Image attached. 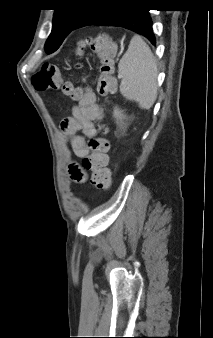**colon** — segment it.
I'll return each mask as SVG.
<instances>
[{"mask_svg":"<svg viewBox=\"0 0 213 338\" xmlns=\"http://www.w3.org/2000/svg\"><path fill=\"white\" fill-rule=\"evenodd\" d=\"M91 48L100 59V71L96 80L97 91L100 95L112 93L116 87L113 70V62L118 56V45L113 43L109 37L100 35L87 37L79 43V50ZM32 84L37 91L61 90L64 95L77 97L73 84L66 81L60 69L52 63L43 64L39 72L32 78ZM62 127L70 131L77 128V122L73 118H66L61 123ZM105 129H101L104 133ZM90 154L83 158L81 169L91 172L92 183L97 189H108L113 183L111 170L108 168L109 142L102 135L89 140ZM76 167L72 169L73 174L81 171Z\"/></svg>","mask_w":213,"mask_h":338,"instance_id":"5ec220e1","label":"colon"}]
</instances>
